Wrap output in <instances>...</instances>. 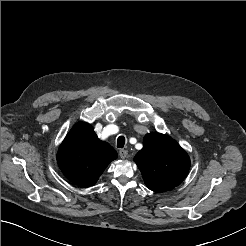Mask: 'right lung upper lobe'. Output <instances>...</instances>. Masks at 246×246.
<instances>
[{
  "label": "right lung upper lobe",
  "mask_w": 246,
  "mask_h": 246,
  "mask_svg": "<svg viewBox=\"0 0 246 246\" xmlns=\"http://www.w3.org/2000/svg\"><path fill=\"white\" fill-rule=\"evenodd\" d=\"M117 156L110 144L99 140L90 124L80 122L65 137L58 150L57 162L71 182L91 186Z\"/></svg>",
  "instance_id": "cb5924a9"
}]
</instances>
